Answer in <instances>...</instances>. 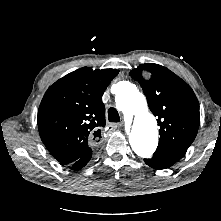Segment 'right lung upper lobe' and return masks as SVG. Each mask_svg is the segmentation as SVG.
Returning a JSON list of instances; mask_svg holds the SVG:
<instances>
[{
	"instance_id": "cb5924a9",
	"label": "right lung upper lobe",
	"mask_w": 221,
	"mask_h": 221,
	"mask_svg": "<svg viewBox=\"0 0 221 221\" xmlns=\"http://www.w3.org/2000/svg\"><path fill=\"white\" fill-rule=\"evenodd\" d=\"M116 69L83 67L55 82L46 91L38 110L40 137L63 165H71L91 152L92 140L105 127L102 95Z\"/></svg>"
}]
</instances>
